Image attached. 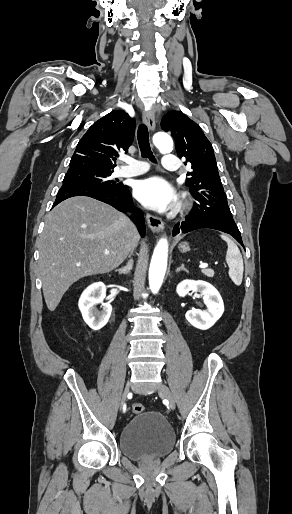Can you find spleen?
Masks as SVG:
<instances>
[{
    "mask_svg": "<svg viewBox=\"0 0 292 514\" xmlns=\"http://www.w3.org/2000/svg\"><path fill=\"white\" fill-rule=\"evenodd\" d=\"M221 238L222 240H224V242H226L228 246L226 252V262L229 266L228 274L232 282H234L236 286H240V284H242L244 272L243 258L240 254V250H238L233 240H230V238H228V236H225V234H222Z\"/></svg>",
    "mask_w": 292,
    "mask_h": 514,
    "instance_id": "obj_1",
    "label": "spleen"
}]
</instances>
